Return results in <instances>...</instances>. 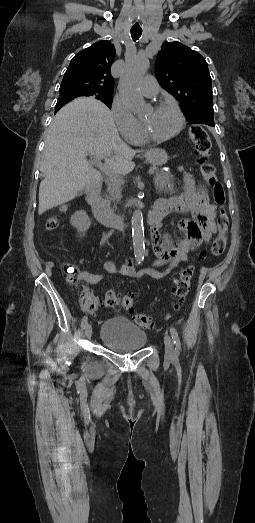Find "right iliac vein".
Listing matches in <instances>:
<instances>
[{"label":"right iliac vein","mask_w":255,"mask_h":523,"mask_svg":"<svg viewBox=\"0 0 255 523\" xmlns=\"http://www.w3.org/2000/svg\"><path fill=\"white\" fill-rule=\"evenodd\" d=\"M85 336L87 339H90L91 336H92V327L90 324H86V327H85Z\"/></svg>","instance_id":"obj_1"}]
</instances>
